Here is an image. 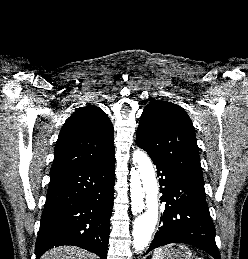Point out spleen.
Listing matches in <instances>:
<instances>
[{
  "instance_id": "3e777b00",
  "label": "spleen",
  "mask_w": 248,
  "mask_h": 259,
  "mask_svg": "<svg viewBox=\"0 0 248 259\" xmlns=\"http://www.w3.org/2000/svg\"><path fill=\"white\" fill-rule=\"evenodd\" d=\"M160 253H161L160 248L155 250L153 253L152 259H160ZM196 259H202V258L197 257Z\"/></svg>"
}]
</instances>
